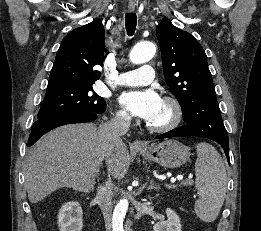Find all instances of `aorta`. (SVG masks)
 <instances>
[{"mask_svg":"<svg viewBox=\"0 0 261 231\" xmlns=\"http://www.w3.org/2000/svg\"><path fill=\"white\" fill-rule=\"evenodd\" d=\"M156 53V46L152 42L137 43L129 54L130 61L134 64H142L150 59ZM128 200L121 199L115 206L113 212V231H123V221L128 210Z\"/></svg>","mask_w":261,"mask_h":231,"instance_id":"obj_1","label":"aorta"}]
</instances>
